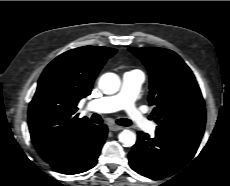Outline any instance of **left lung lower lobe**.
<instances>
[{"mask_svg":"<svg viewBox=\"0 0 230 186\" xmlns=\"http://www.w3.org/2000/svg\"><path fill=\"white\" fill-rule=\"evenodd\" d=\"M202 136L178 134L157 128L155 137L138 132L129 153V164L139 174L162 179L177 173L195 155Z\"/></svg>","mask_w":230,"mask_h":186,"instance_id":"1","label":"left lung lower lobe"}]
</instances>
